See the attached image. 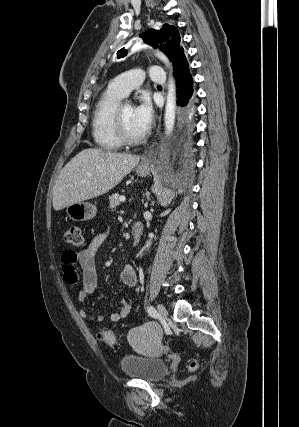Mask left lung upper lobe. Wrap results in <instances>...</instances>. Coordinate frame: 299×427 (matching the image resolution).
Listing matches in <instances>:
<instances>
[{"mask_svg": "<svg viewBox=\"0 0 299 427\" xmlns=\"http://www.w3.org/2000/svg\"><path fill=\"white\" fill-rule=\"evenodd\" d=\"M140 37L143 38L145 43L159 48L162 50L171 61H173L178 49L180 48V36L176 27L164 24L163 27L158 31L155 29H149L142 33ZM125 52H118V57H124Z\"/></svg>", "mask_w": 299, "mask_h": 427, "instance_id": "left-lung-upper-lobe-1", "label": "left lung upper lobe"}]
</instances>
